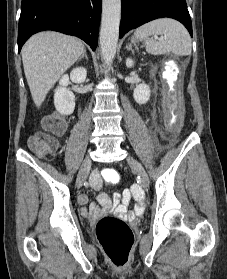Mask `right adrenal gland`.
I'll use <instances>...</instances> for the list:
<instances>
[{"label":"right adrenal gland","mask_w":227,"mask_h":279,"mask_svg":"<svg viewBox=\"0 0 227 279\" xmlns=\"http://www.w3.org/2000/svg\"><path fill=\"white\" fill-rule=\"evenodd\" d=\"M88 61V56L86 54V50L83 51V54L79 57L78 61H80L82 58H84Z\"/></svg>","instance_id":"2a0ac1e0"}]
</instances>
